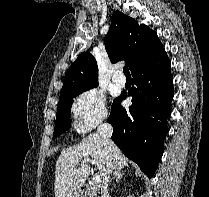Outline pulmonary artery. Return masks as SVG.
<instances>
[{
	"label": "pulmonary artery",
	"mask_w": 209,
	"mask_h": 197,
	"mask_svg": "<svg viewBox=\"0 0 209 197\" xmlns=\"http://www.w3.org/2000/svg\"><path fill=\"white\" fill-rule=\"evenodd\" d=\"M113 83L118 87H124L126 84V79L122 76L121 73H118L113 76Z\"/></svg>",
	"instance_id": "obj_1"
}]
</instances>
